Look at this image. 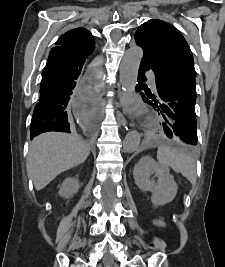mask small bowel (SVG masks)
I'll use <instances>...</instances> for the list:
<instances>
[{
	"instance_id": "c3829d8e",
	"label": "small bowel",
	"mask_w": 225,
	"mask_h": 267,
	"mask_svg": "<svg viewBox=\"0 0 225 267\" xmlns=\"http://www.w3.org/2000/svg\"><path fill=\"white\" fill-rule=\"evenodd\" d=\"M154 224H155L156 226L160 227V228L164 227V225H165L164 221L161 220V219H156V220L154 221Z\"/></svg>"
}]
</instances>
